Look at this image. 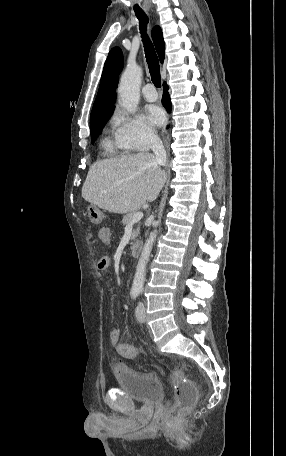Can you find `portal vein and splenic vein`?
I'll return each mask as SVG.
<instances>
[{"label":"portal vein and splenic vein","mask_w":286,"mask_h":456,"mask_svg":"<svg viewBox=\"0 0 286 456\" xmlns=\"http://www.w3.org/2000/svg\"><path fill=\"white\" fill-rule=\"evenodd\" d=\"M142 217H143V212H140V211H139V212H136V213L133 215L131 222H132V223L137 222V221L141 220Z\"/></svg>","instance_id":"obj_1"}]
</instances>
